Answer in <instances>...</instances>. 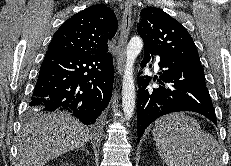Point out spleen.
<instances>
[{
	"mask_svg": "<svg viewBox=\"0 0 231 166\" xmlns=\"http://www.w3.org/2000/svg\"><path fill=\"white\" fill-rule=\"evenodd\" d=\"M153 137L167 166H222L221 150L211 134L185 113L165 115L155 122Z\"/></svg>",
	"mask_w": 231,
	"mask_h": 166,
	"instance_id": "1",
	"label": "spleen"
}]
</instances>
